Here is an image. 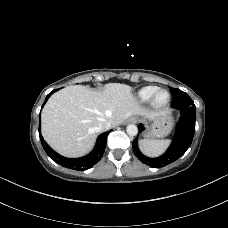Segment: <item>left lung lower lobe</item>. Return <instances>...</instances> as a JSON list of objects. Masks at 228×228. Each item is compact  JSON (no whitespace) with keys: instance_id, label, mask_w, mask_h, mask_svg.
Listing matches in <instances>:
<instances>
[{"instance_id":"left-lung-lower-lobe-1","label":"left lung lower lobe","mask_w":228,"mask_h":228,"mask_svg":"<svg viewBox=\"0 0 228 228\" xmlns=\"http://www.w3.org/2000/svg\"><path fill=\"white\" fill-rule=\"evenodd\" d=\"M171 106L180 110L181 117L177 124L173 141L162 156L157 158L146 157L138 149V139L135 138L132 143L137 158L142 163L154 168L166 166L180 158L190 147L193 140L196 106H194L192 99L188 95L182 98H173ZM138 129L141 133L144 130V126L139 124Z\"/></svg>"}]
</instances>
